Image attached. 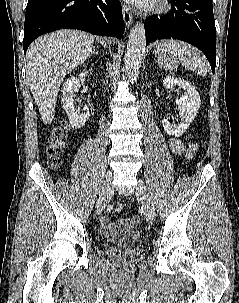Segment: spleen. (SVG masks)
<instances>
[{
  "label": "spleen",
  "mask_w": 239,
  "mask_h": 303,
  "mask_svg": "<svg viewBox=\"0 0 239 303\" xmlns=\"http://www.w3.org/2000/svg\"><path fill=\"white\" fill-rule=\"evenodd\" d=\"M154 54L158 63L165 70L173 71L181 63L202 77L207 75L208 67L205 56L197 48L184 41L174 39L160 41L154 49Z\"/></svg>",
  "instance_id": "1"
}]
</instances>
